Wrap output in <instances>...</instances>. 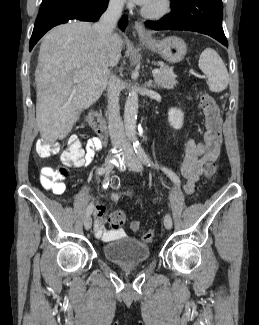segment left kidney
Here are the masks:
<instances>
[{"instance_id": "5707ae66", "label": "left kidney", "mask_w": 259, "mask_h": 325, "mask_svg": "<svg viewBox=\"0 0 259 325\" xmlns=\"http://www.w3.org/2000/svg\"><path fill=\"white\" fill-rule=\"evenodd\" d=\"M184 114L180 109L171 108L168 111V121L174 129H180L183 126Z\"/></svg>"}]
</instances>
